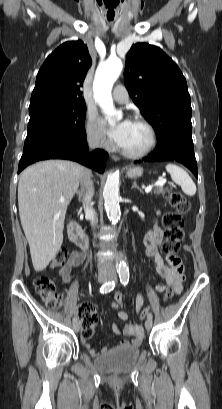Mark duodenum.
<instances>
[{
    "mask_svg": "<svg viewBox=\"0 0 222 409\" xmlns=\"http://www.w3.org/2000/svg\"><path fill=\"white\" fill-rule=\"evenodd\" d=\"M68 235L70 240L81 250L88 249L87 236L80 224L73 218L68 225Z\"/></svg>",
    "mask_w": 222,
    "mask_h": 409,
    "instance_id": "410a0bca",
    "label": "duodenum"
}]
</instances>
